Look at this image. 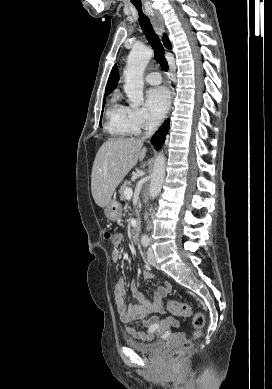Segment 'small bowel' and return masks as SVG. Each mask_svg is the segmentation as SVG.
Returning a JSON list of instances; mask_svg holds the SVG:
<instances>
[{
  "label": "small bowel",
  "instance_id": "1",
  "mask_svg": "<svg viewBox=\"0 0 272 389\" xmlns=\"http://www.w3.org/2000/svg\"><path fill=\"white\" fill-rule=\"evenodd\" d=\"M121 258V253L118 250L112 252V260L118 262ZM145 279H152L154 276L149 272H144ZM130 289L137 297L138 301L127 304L125 301L126 296V284L125 281L120 279L116 282L114 287V296L117 311L120 320L123 324L126 333L137 340L149 341L152 340L156 331L159 328V318L157 316L148 317L152 314L163 312V300L170 293L171 285L167 282L161 284L154 294L152 301L146 300L138 290V284L136 281L130 283ZM142 320L146 331H138L132 325L133 322ZM166 323L175 324L176 321L173 318L163 319Z\"/></svg>",
  "mask_w": 272,
  "mask_h": 389
}]
</instances>
